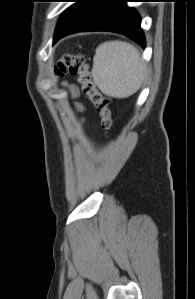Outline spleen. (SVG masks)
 Masks as SVG:
<instances>
[{
    "mask_svg": "<svg viewBox=\"0 0 195 299\" xmlns=\"http://www.w3.org/2000/svg\"><path fill=\"white\" fill-rule=\"evenodd\" d=\"M92 76L102 93L126 98L141 87L145 65L133 45L124 41H109L96 49Z\"/></svg>",
    "mask_w": 195,
    "mask_h": 299,
    "instance_id": "obj_1",
    "label": "spleen"
}]
</instances>
